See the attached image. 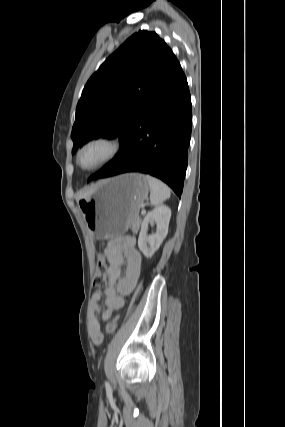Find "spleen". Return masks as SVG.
Returning <instances> with one entry per match:
<instances>
[{"mask_svg":"<svg viewBox=\"0 0 285 427\" xmlns=\"http://www.w3.org/2000/svg\"><path fill=\"white\" fill-rule=\"evenodd\" d=\"M146 179L151 189L150 201L152 205L160 206L170 198L171 192L166 184L149 175L146 176Z\"/></svg>","mask_w":285,"mask_h":427,"instance_id":"3e777b00","label":"spleen"}]
</instances>
